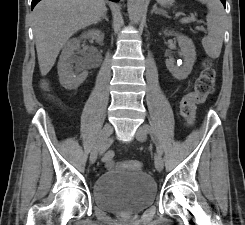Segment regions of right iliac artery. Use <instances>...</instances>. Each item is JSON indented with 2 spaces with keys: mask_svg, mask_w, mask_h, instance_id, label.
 <instances>
[{
  "mask_svg": "<svg viewBox=\"0 0 245 225\" xmlns=\"http://www.w3.org/2000/svg\"><path fill=\"white\" fill-rule=\"evenodd\" d=\"M111 143H112V139L109 140V142L106 144V146L104 147V150L101 152L100 155H102L105 152V150L110 146Z\"/></svg>",
  "mask_w": 245,
  "mask_h": 225,
  "instance_id": "82829eb1",
  "label": "right iliac artery"
}]
</instances>
